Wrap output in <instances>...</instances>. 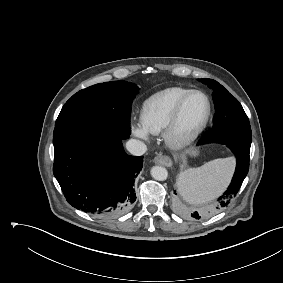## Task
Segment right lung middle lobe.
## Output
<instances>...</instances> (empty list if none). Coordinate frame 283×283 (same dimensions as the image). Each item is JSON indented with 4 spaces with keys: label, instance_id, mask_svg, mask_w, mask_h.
I'll list each match as a JSON object with an SVG mask.
<instances>
[{
    "label": "right lung middle lobe",
    "instance_id": "dd1d6c3e",
    "mask_svg": "<svg viewBox=\"0 0 283 283\" xmlns=\"http://www.w3.org/2000/svg\"><path fill=\"white\" fill-rule=\"evenodd\" d=\"M138 87L126 81L100 83L80 90L63 106L55 124L53 144L91 131H107L126 139L130 135L131 103Z\"/></svg>",
    "mask_w": 283,
    "mask_h": 283
}]
</instances>
